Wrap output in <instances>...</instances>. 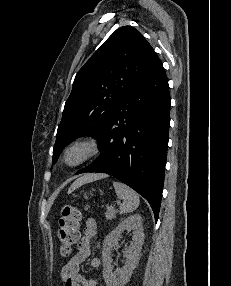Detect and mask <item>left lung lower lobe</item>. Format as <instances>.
I'll return each mask as SVG.
<instances>
[{
	"label": "left lung lower lobe",
	"instance_id": "left-lung-lower-lobe-1",
	"mask_svg": "<svg viewBox=\"0 0 231 286\" xmlns=\"http://www.w3.org/2000/svg\"><path fill=\"white\" fill-rule=\"evenodd\" d=\"M170 94L159 61L114 107L95 137L101 155L85 172L107 173L122 181L151 205L158 219L170 124Z\"/></svg>",
	"mask_w": 231,
	"mask_h": 286
}]
</instances>
